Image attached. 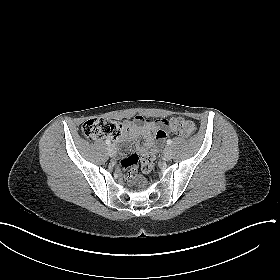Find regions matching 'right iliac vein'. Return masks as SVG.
<instances>
[{
    "label": "right iliac vein",
    "mask_w": 280,
    "mask_h": 280,
    "mask_svg": "<svg viewBox=\"0 0 280 280\" xmlns=\"http://www.w3.org/2000/svg\"><path fill=\"white\" fill-rule=\"evenodd\" d=\"M108 153L111 157H114L116 155V147L114 145L108 146Z\"/></svg>",
    "instance_id": "1"
}]
</instances>
